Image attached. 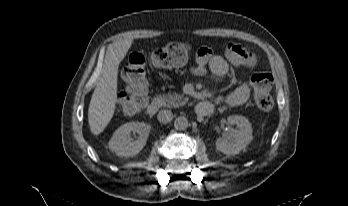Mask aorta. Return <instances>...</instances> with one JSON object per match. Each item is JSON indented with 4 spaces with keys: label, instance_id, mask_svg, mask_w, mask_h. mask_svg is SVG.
<instances>
[{
    "label": "aorta",
    "instance_id": "obj_1",
    "mask_svg": "<svg viewBox=\"0 0 348 206\" xmlns=\"http://www.w3.org/2000/svg\"><path fill=\"white\" fill-rule=\"evenodd\" d=\"M189 125L188 119L184 116H179L174 121V127L177 130H185Z\"/></svg>",
    "mask_w": 348,
    "mask_h": 206
}]
</instances>
